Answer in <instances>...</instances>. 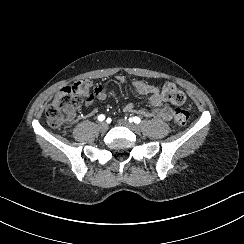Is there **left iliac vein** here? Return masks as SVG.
<instances>
[{"mask_svg": "<svg viewBox=\"0 0 244 244\" xmlns=\"http://www.w3.org/2000/svg\"><path fill=\"white\" fill-rule=\"evenodd\" d=\"M118 123L122 126L129 128L133 132H137L139 130V127L136 124L130 123L125 119H119Z\"/></svg>", "mask_w": 244, "mask_h": 244, "instance_id": "obj_1", "label": "left iliac vein"}]
</instances>
